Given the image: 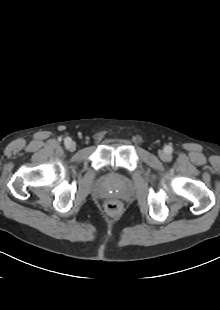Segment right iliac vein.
Returning <instances> with one entry per match:
<instances>
[{
	"label": "right iliac vein",
	"instance_id": "right-iliac-vein-1",
	"mask_svg": "<svg viewBox=\"0 0 220 310\" xmlns=\"http://www.w3.org/2000/svg\"><path fill=\"white\" fill-rule=\"evenodd\" d=\"M67 148L70 150V151H74L76 149V143L74 141H70L68 144H67Z\"/></svg>",
	"mask_w": 220,
	"mask_h": 310
}]
</instances>
